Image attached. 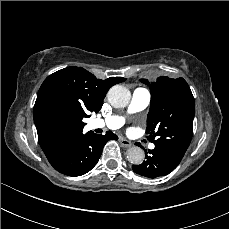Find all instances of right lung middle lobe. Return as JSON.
I'll use <instances>...</instances> for the list:
<instances>
[{
    "instance_id": "dd1d6c3e",
    "label": "right lung middle lobe",
    "mask_w": 229,
    "mask_h": 229,
    "mask_svg": "<svg viewBox=\"0 0 229 229\" xmlns=\"http://www.w3.org/2000/svg\"><path fill=\"white\" fill-rule=\"evenodd\" d=\"M45 114L51 125L60 129L81 124L84 117L73 104L63 99L51 101Z\"/></svg>"
}]
</instances>
